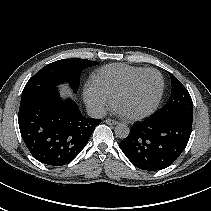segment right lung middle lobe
Masks as SVG:
<instances>
[{"label":"right lung middle lobe","mask_w":211,"mask_h":211,"mask_svg":"<svg viewBox=\"0 0 211 211\" xmlns=\"http://www.w3.org/2000/svg\"><path fill=\"white\" fill-rule=\"evenodd\" d=\"M97 64L96 61L86 59H62L46 65L25 85L21 103L41 95L58 93L55 91L56 86L62 82L70 83L76 92L79 87L80 72Z\"/></svg>","instance_id":"obj_1"}]
</instances>
